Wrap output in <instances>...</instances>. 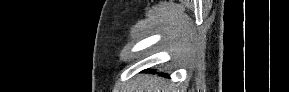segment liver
Wrapping results in <instances>:
<instances>
[{
    "label": "liver",
    "mask_w": 289,
    "mask_h": 92,
    "mask_svg": "<svg viewBox=\"0 0 289 92\" xmlns=\"http://www.w3.org/2000/svg\"><path fill=\"white\" fill-rule=\"evenodd\" d=\"M127 90L128 92H173V86L167 85L161 78L138 76Z\"/></svg>",
    "instance_id": "obj_1"
}]
</instances>
